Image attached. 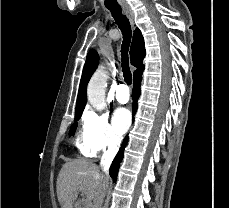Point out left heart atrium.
<instances>
[{
    "mask_svg": "<svg viewBox=\"0 0 229 208\" xmlns=\"http://www.w3.org/2000/svg\"><path fill=\"white\" fill-rule=\"evenodd\" d=\"M131 116L126 108H118L113 115V125L119 135L124 134L130 127Z\"/></svg>",
    "mask_w": 229,
    "mask_h": 208,
    "instance_id": "obj_1",
    "label": "left heart atrium"
}]
</instances>
